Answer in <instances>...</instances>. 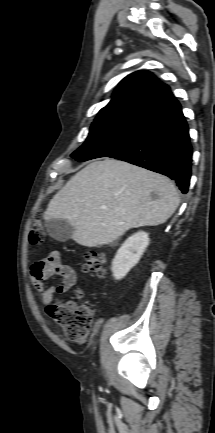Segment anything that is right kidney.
I'll use <instances>...</instances> for the list:
<instances>
[{"mask_svg": "<svg viewBox=\"0 0 215 433\" xmlns=\"http://www.w3.org/2000/svg\"><path fill=\"white\" fill-rule=\"evenodd\" d=\"M149 241L148 233L139 231L122 244L112 262L111 269L115 279L124 278L131 268L138 263Z\"/></svg>", "mask_w": 215, "mask_h": 433, "instance_id": "ca27d5eb", "label": "right kidney"}]
</instances>
